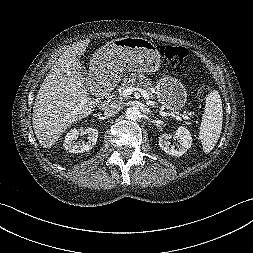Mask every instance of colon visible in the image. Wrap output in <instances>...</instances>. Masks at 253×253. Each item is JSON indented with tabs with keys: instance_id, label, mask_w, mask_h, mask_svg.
<instances>
[{
	"instance_id": "obj_1",
	"label": "colon",
	"mask_w": 253,
	"mask_h": 253,
	"mask_svg": "<svg viewBox=\"0 0 253 253\" xmlns=\"http://www.w3.org/2000/svg\"><path fill=\"white\" fill-rule=\"evenodd\" d=\"M187 54V49L181 46L162 45L160 47L161 57L173 66L182 65ZM209 93L210 88L205 84H202L198 89V96L200 99H206Z\"/></svg>"
}]
</instances>
